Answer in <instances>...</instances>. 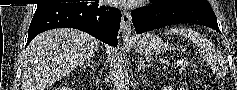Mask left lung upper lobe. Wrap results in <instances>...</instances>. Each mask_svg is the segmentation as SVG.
<instances>
[{
  "mask_svg": "<svg viewBox=\"0 0 237 90\" xmlns=\"http://www.w3.org/2000/svg\"><path fill=\"white\" fill-rule=\"evenodd\" d=\"M167 4H182L195 8L211 9L207 0H163Z\"/></svg>",
  "mask_w": 237,
  "mask_h": 90,
  "instance_id": "left-lung-upper-lobe-1",
  "label": "left lung upper lobe"
}]
</instances>
